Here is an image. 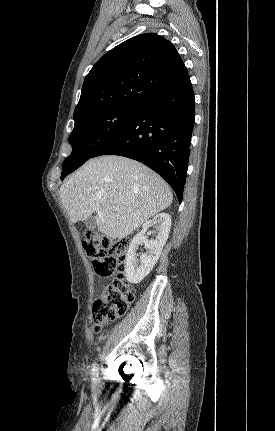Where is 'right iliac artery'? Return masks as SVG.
Wrapping results in <instances>:
<instances>
[{
	"label": "right iliac artery",
	"instance_id": "right-iliac-artery-1",
	"mask_svg": "<svg viewBox=\"0 0 275 431\" xmlns=\"http://www.w3.org/2000/svg\"><path fill=\"white\" fill-rule=\"evenodd\" d=\"M97 365L96 364H93V367H92V375L94 376V377H98V372H97ZM95 379V378H94Z\"/></svg>",
	"mask_w": 275,
	"mask_h": 431
}]
</instances>
